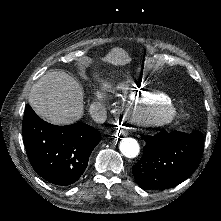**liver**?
Listing matches in <instances>:
<instances>
[{
    "instance_id": "obj_1",
    "label": "liver",
    "mask_w": 221,
    "mask_h": 221,
    "mask_svg": "<svg viewBox=\"0 0 221 221\" xmlns=\"http://www.w3.org/2000/svg\"><path fill=\"white\" fill-rule=\"evenodd\" d=\"M120 63L118 56L103 59ZM102 90L110 85L103 82ZM29 104L35 113L54 125H69L80 120L84 113L83 92L79 83L65 72H47L33 85Z\"/></svg>"
}]
</instances>
